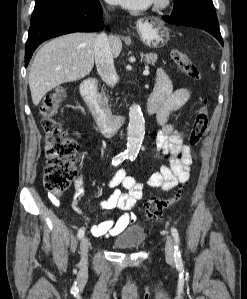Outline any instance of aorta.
Returning <instances> with one entry per match:
<instances>
[{
  "instance_id": "762f6f07",
  "label": "aorta",
  "mask_w": 247,
  "mask_h": 299,
  "mask_svg": "<svg viewBox=\"0 0 247 299\" xmlns=\"http://www.w3.org/2000/svg\"><path fill=\"white\" fill-rule=\"evenodd\" d=\"M145 134V120L141 108L134 104L129 109V124L127 128V149L129 155L138 154Z\"/></svg>"
}]
</instances>
